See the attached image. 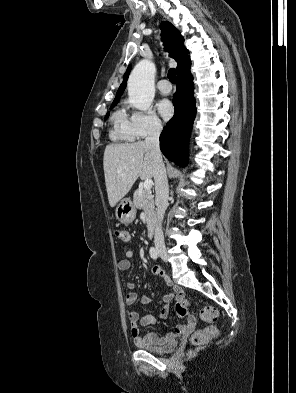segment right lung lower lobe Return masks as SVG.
I'll return each mask as SVG.
<instances>
[{
    "label": "right lung lower lobe",
    "instance_id": "right-lung-lower-lobe-1",
    "mask_svg": "<svg viewBox=\"0 0 296 393\" xmlns=\"http://www.w3.org/2000/svg\"><path fill=\"white\" fill-rule=\"evenodd\" d=\"M191 63L177 73V91L173 97L174 117L167 123L160 136V149L169 160L184 165L186 149L196 115L194 83L190 72Z\"/></svg>",
    "mask_w": 296,
    "mask_h": 393
}]
</instances>
